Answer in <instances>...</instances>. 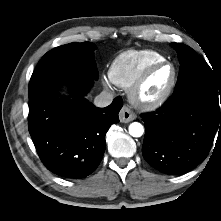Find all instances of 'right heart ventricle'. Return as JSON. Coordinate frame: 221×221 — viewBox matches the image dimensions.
Listing matches in <instances>:
<instances>
[{"label": "right heart ventricle", "instance_id": "1", "mask_svg": "<svg viewBox=\"0 0 221 221\" xmlns=\"http://www.w3.org/2000/svg\"><path fill=\"white\" fill-rule=\"evenodd\" d=\"M164 59L162 54L154 50L125 51L113 60L109 69V78L122 88H130L146 67Z\"/></svg>", "mask_w": 221, "mask_h": 221}]
</instances>
